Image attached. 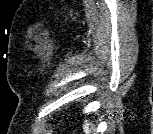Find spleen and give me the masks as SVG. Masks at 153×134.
<instances>
[{"instance_id":"3e777b00","label":"spleen","mask_w":153,"mask_h":134,"mask_svg":"<svg viewBox=\"0 0 153 134\" xmlns=\"http://www.w3.org/2000/svg\"><path fill=\"white\" fill-rule=\"evenodd\" d=\"M85 134H90L91 130L89 129V124L85 123L83 126Z\"/></svg>"}]
</instances>
